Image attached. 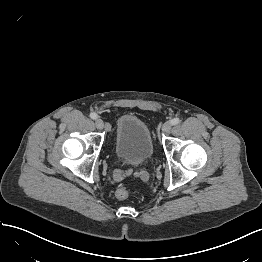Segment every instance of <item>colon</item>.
<instances>
[{
	"instance_id": "5ec220e1",
	"label": "colon",
	"mask_w": 262,
	"mask_h": 262,
	"mask_svg": "<svg viewBox=\"0 0 262 262\" xmlns=\"http://www.w3.org/2000/svg\"><path fill=\"white\" fill-rule=\"evenodd\" d=\"M115 196L119 200H126L129 198V191L126 187L120 186L116 189Z\"/></svg>"
}]
</instances>
